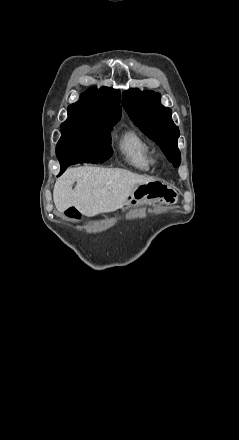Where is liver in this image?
Returning <instances> with one entry per match:
<instances>
[{
	"mask_svg": "<svg viewBox=\"0 0 239 440\" xmlns=\"http://www.w3.org/2000/svg\"><path fill=\"white\" fill-rule=\"evenodd\" d=\"M74 182L77 186L72 190ZM148 182L157 180L120 168H68L54 186L53 200L58 212L74 206L82 216L92 218L119 210L136 188Z\"/></svg>",
	"mask_w": 239,
	"mask_h": 440,
	"instance_id": "liver-1",
	"label": "liver"
}]
</instances>
